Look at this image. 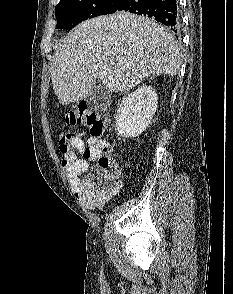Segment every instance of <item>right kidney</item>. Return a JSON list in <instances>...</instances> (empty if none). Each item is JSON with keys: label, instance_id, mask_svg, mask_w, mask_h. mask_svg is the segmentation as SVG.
Returning a JSON list of instances; mask_svg holds the SVG:
<instances>
[{"label": "right kidney", "instance_id": "obj_1", "mask_svg": "<svg viewBox=\"0 0 233 294\" xmlns=\"http://www.w3.org/2000/svg\"><path fill=\"white\" fill-rule=\"evenodd\" d=\"M157 94L150 86H141L119 104L116 130L119 136L134 138L149 125L157 109Z\"/></svg>", "mask_w": 233, "mask_h": 294}]
</instances>
